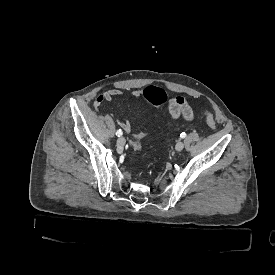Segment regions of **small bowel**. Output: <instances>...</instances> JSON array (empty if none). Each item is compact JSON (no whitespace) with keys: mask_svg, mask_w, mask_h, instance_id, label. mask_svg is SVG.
<instances>
[{"mask_svg":"<svg viewBox=\"0 0 275 275\" xmlns=\"http://www.w3.org/2000/svg\"><path fill=\"white\" fill-rule=\"evenodd\" d=\"M123 92L120 89H108L103 93L99 94L94 102L93 108L98 111L106 102H110L113 99L121 96ZM132 95L136 99L142 97V92L140 90H134ZM168 111L173 119L183 118L186 121H191L193 119L194 113L190 103L184 97L177 96L172 98L168 103ZM118 123L120 127L127 133L131 134L134 139L140 140L145 136L144 132L133 133L131 123L128 120L119 119Z\"/></svg>","mask_w":275,"mask_h":275,"instance_id":"obj_1","label":"small bowel"}]
</instances>
